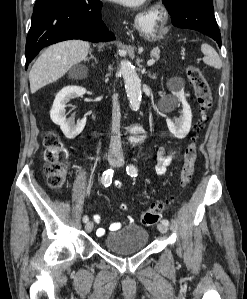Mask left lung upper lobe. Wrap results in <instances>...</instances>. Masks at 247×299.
Masks as SVG:
<instances>
[{
	"mask_svg": "<svg viewBox=\"0 0 247 299\" xmlns=\"http://www.w3.org/2000/svg\"><path fill=\"white\" fill-rule=\"evenodd\" d=\"M164 4H168V3H171L172 1L174 0H162Z\"/></svg>",
	"mask_w": 247,
	"mask_h": 299,
	"instance_id": "obj_1",
	"label": "left lung upper lobe"
}]
</instances>
